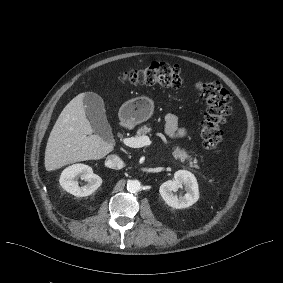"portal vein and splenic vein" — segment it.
Masks as SVG:
<instances>
[{"mask_svg": "<svg viewBox=\"0 0 283 283\" xmlns=\"http://www.w3.org/2000/svg\"><path fill=\"white\" fill-rule=\"evenodd\" d=\"M121 142L127 147L140 148L143 146L151 145V140L147 136L142 137H121Z\"/></svg>", "mask_w": 283, "mask_h": 283, "instance_id": "obj_1", "label": "portal vein and splenic vein"}]
</instances>
